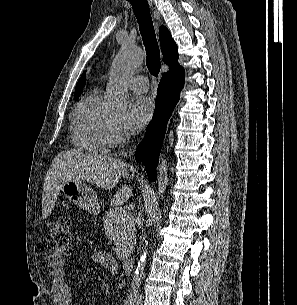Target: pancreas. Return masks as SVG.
Returning <instances> with one entry per match:
<instances>
[{
	"instance_id": "1",
	"label": "pancreas",
	"mask_w": 297,
	"mask_h": 305,
	"mask_svg": "<svg viewBox=\"0 0 297 305\" xmlns=\"http://www.w3.org/2000/svg\"><path fill=\"white\" fill-rule=\"evenodd\" d=\"M103 223L106 235L116 245V256L122 260L127 258L135 244L133 216L127 214L124 209L112 208L106 212Z\"/></svg>"
}]
</instances>
